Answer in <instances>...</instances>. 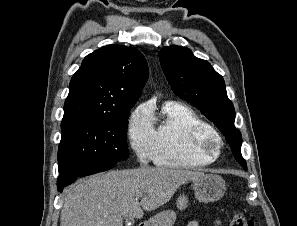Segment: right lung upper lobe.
Wrapping results in <instances>:
<instances>
[{"instance_id": "cb5924a9", "label": "right lung upper lobe", "mask_w": 297, "mask_h": 226, "mask_svg": "<svg viewBox=\"0 0 297 226\" xmlns=\"http://www.w3.org/2000/svg\"><path fill=\"white\" fill-rule=\"evenodd\" d=\"M148 79V65L135 48L108 45L87 55L73 75L62 121L117 118L134 105Z\"/></svg>"}]
</instances>
